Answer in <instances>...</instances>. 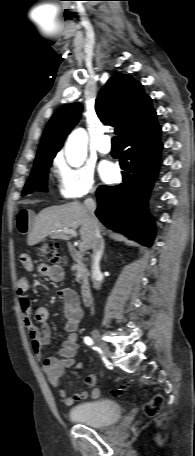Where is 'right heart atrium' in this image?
<instances>
[{
	"instance_id": "d8ad5b80",
	"label": "right heart atrium",
	"mask_w": 195,
	"mask_h": 456,
	"mask_svg": "<svg viewBox=\"0 0 195 456\" xmlns=\"http://www.w3.org/2000/svg\"><path fill=\"white\" fill-rule=\"evenodd\" d=\"M58 194L63 199H78L95 192L96 184L91 168L72 167L63 159L55 161Z\"/></svg>"
}]
</instances>
